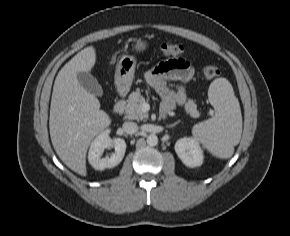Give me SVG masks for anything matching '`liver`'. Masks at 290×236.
Here are the masks:
<instances>
[{
    "mask_svg": "<svg viewBox=\"0 0 290 236\" xmlns=\"http://www.w3.org/2000/svg\"><path fill=\"white\" fill-rule=\"evenodd\" d=\"M96 51L89 46L78 52L59 71L53 86L49 129L52 145L63 163L86 176V153L90 142L111 124L100 110L99 100L78 82L80 72H89Z\"/></svg>",
    "mask_w": 290,
    "mask_h": 236,
    "instance_id": "6515ba94",
    "label": "liver"
}]
</instances>
